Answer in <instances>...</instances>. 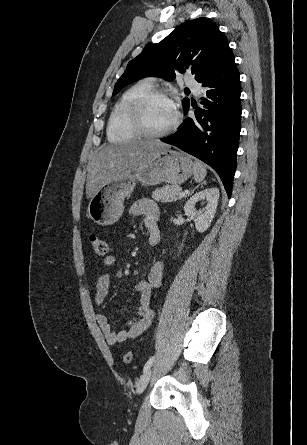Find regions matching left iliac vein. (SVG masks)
Wrapping results in <instances>:
<instances>
[{"label":"left iliac vein","mask_w":307,"mask_h":445,"mask_svg":"<svg viewBox=\"0 0 307 445\" xmlns=\"http://www.w3.org/2000/svg\"><path fill=\"white\" fill-rule=\"evenodd\" d=\"M152 370L149 368L147 371L143 373L141 378L139 379V382L137 384V393L141 394L145 388L147 387L149 380L151 378Z\"/></svg>","instance_id":"1"}]
</instances>
